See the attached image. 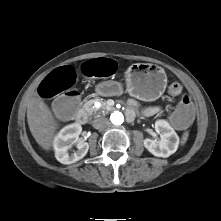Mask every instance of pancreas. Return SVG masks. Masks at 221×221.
<instances>
[{
  "instance_id": "1",
  "label": "pancreas",
  "mask_w": 221,
  "mask_h": 221,
  "mask_svg": "<svg viewBox=\"0 0 221 221\" xmlns=\"http://www.w3.org/2000/svg\"><path fill=\"white\" fill-rule=\"evenodd\" d=\"M95 101H100L102 103V106H106V101H104L103 99H99V98H96V99H93V100H90L88 101L85 105H84V109L86 110V112L89 114V115H92L93 113L97 112L99 109L98 108H95L93 106V103Z\"/></svg>"
}]
</instances>
